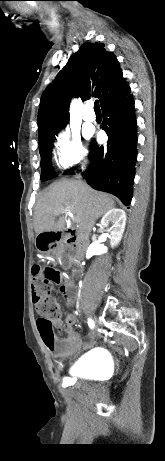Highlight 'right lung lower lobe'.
I'll return each mask as SVG.
<instances>
[{
	"mask_svg": "<svg viewBox=\"0 0 165 461\" xmlns=\"http://www.w3.org/2000/svg\"><path fill=\"white\" fill-rule=\"evenodd\" d=\"M102 129L108 135L106 147L91 144V165L84 174L94 189L117 196L124 205L132 199V185L137 159V136L134 100L128 94L103 110ZM75 168L65 171L72 173Z\"/></svg>",
	"mask_w": 165,
	"mask_h": 461,
	"instance_id": "obj_1",
	"label": "right lung lower lobe"
}]
</instances>
